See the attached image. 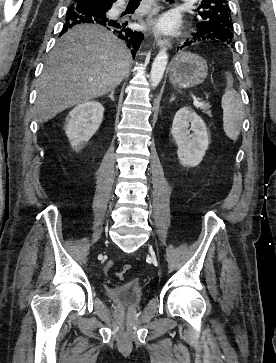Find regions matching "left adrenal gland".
I'll return each instance as SVG.
<instances>
[{"mask_svg": "<svg viewBox=\"0 0 276 363\" xmlns=\"http://www.w3.org/2000/svg\"><path fill=\"white\" fill-rule=\"evenodd\" d=\"M175 99V96L172 94L170 102H172Z\"/></svg>", "mask_w": 276, "mask_h": 363, "instance_id": "obj_1", "label": "left adrenal gland"}]
</instances>
